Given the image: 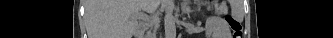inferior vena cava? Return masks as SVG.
Masks as SVG:
<instances>
[{
  "label": "inferior vena cava",
  "instance_id": "1",
  "mask_svg": "<svg viewBox=\"0 0 333 38\" xmlns=\"http://www.w3.org/2000/svg\"><path fill=\"white\" fill-rule=\"evenodd\" d=\"M156 23H157L156 19H155V18H152V19H151V24H156Z\"/></svg>",
  "mask_w": 333,
  "mask_h": 38
}]
</instances>
